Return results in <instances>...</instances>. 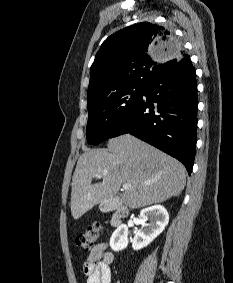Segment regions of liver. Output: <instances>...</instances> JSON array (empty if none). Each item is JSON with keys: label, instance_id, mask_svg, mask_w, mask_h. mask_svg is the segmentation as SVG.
<instances>
[{"label": "liver", "instance_id": "6515ba94", "mask_svg": "<svg viewBox=\"0 0 233 283\" xmlns=\"http://www.w3.org/2000/svg\"><path fill=\"white\" fill-rule=\"evenodd\" d=\"M107 150L84 152L72 177L71 214L79 219L96 204L115 196L122 184V202L135 209L178 196L186 184V169L175 158L125 134L112 138ZM101 175L102 182L92 184Z\"/></svg>", "mask_w": 233, "mask_h": 283}]
</instances>
